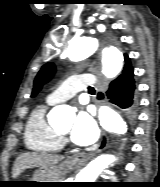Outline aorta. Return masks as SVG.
Returning <instances> with one entry per match:
<instances>
[{
	"mask_svg": "<svg viewBox=\"0 0 160 187\" xmlns=\"http://www.w3.org/2000/svg\"><path fill=\"white\" fill-rule=\"evenodd\" d=\"M99 49V40L96 37H77L70 41L68 57L73 61L83 60ZM123 55L115 47H106L102 51V73L107 78L116 77L122 69ZM71 109L61 105L52 109L49 114L51 120H62L70 117ZM101 126L108 132L116 135H125L127 125L122 117L108 107H101L99 110ZM117 161L114 154H103L92 160L77 175L75 182H95L98 176Z\"/></svg>",
	"mask_w": 160,
	"mask_h": 187,
	"instance_id": "obj_1",
	"label": "aorta"
}]
</instances>
